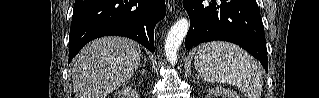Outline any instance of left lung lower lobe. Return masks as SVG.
Instances as JSON below:
<instances>
[{
    "label": "left lung lower lobe",
    "instance_id": "obj_1",
    "mask_svg": "<svg viewBox=\"0 0 319 98\" xmlns=\"http://www.w3.org/2000/svg\"><path fill=\"white\" fill-rule=\"evenodd\" d=\"M190 17L186 49L208 41L235 43L257 58L268 72L264 28L255 0H184Z\"/></svg>",
    "mask_w": 319,
    "mask_h": 98
}]
</instances>
